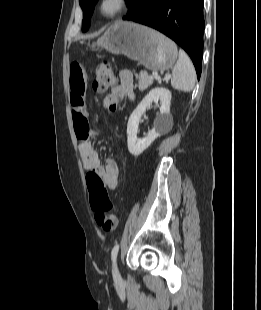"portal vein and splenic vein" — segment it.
<instances>
[{"label": "portal vein and splenic vein", "mask_w": 261, "mask_h": 310, "mask_svg": "<svg viewBox=\"0 0 261 310\" xmlns=\"http://www.w3.org/2000/svg\"><path fill=\"white\" fill-rule=\"evenodd\" d=\"M152 78H157V79H159L160 77H159V75L157 74V73H152V76H151Z\"/></svg>", "instance_id": "1"}]
</instances>
